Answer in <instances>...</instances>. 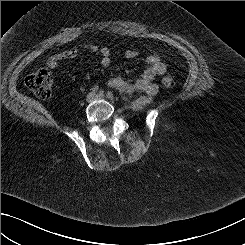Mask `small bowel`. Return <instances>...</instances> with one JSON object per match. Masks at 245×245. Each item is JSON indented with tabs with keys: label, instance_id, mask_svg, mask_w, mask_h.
I'll return each mask as SVG.
<instances>
[{
	"label": "small bowel",
	"instance_id": "small-bowel-1",
	"mask_svg": "<svg viewBox=\"0 0 245 245\" xmlns=\"http://www.w3.org/2000/svg\"><path fill=\"white\" fill-rule=\"evenodd\" d=\"M83 50H89L96 54L100 58V62L104 67L111 64V52L107 48L99 47L93 43H85L71 50L60 52L52 55L48 61V67L54 69L58 67L63 61L70 60L80 56ZM139 56L138 52L135 50H127L124 53L126 59H135ZM145 62L147 67L144 69L141 77L134 81L129 82L122 77L116 76L112 77L107 81V85L121 93H134L142 92L149 96H154L158 92V86L153 82V80L163 74L166 71V65L162 60L156 55H149L146 57ZM68 78L75 79V75L72 72H63ZM96 88H94L95 90Z\"/></svg>",
	"mask_w": 245,
	"mask_h": 245
}]
</instances>
